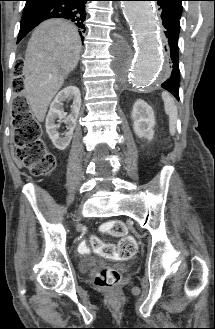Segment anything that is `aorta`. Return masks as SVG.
<instances>
[{"instance_id":"762f6f07","label":"aorta","mask_w":215,"mask_h":329,"mask_svg":"<svg viewBox=\"0 0 215 329\" xmlns=\"http://www.w3.org/2000/svg\"><path fill=\"white\" fill-rule=\"evenodd\" d=\"M122 9L136 42L137 51L127 68L132 84L147 89L163 79V54L156 13L148 1H123Z\"/></svg>"}]
</instances>
